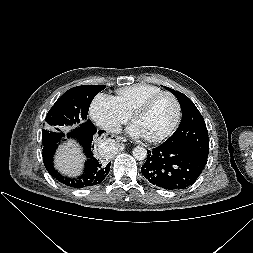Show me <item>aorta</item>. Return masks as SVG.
Returning <instances> with one entry per match:
<instances>
[{
	"instance_id": "aorta-1",
	"label": "aorta",
	"mask_w": 253,
	"mask_h": 253,
	"mask_svg": "<svg viewBox=\"0 0 253 253\" xmlns=\"http://www.w3.org/2000/svg\"><path fill=\"white\" fill-rule=\"evenodd\" d=\"M133 156L136 160H144L147 157V151L144 147L137 146L133 149Z\"/></svg>"
}]
</instances>
